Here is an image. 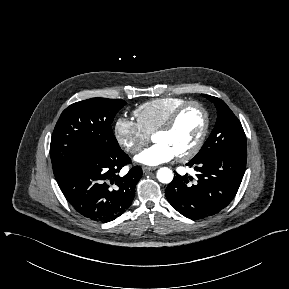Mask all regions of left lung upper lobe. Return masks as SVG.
<instances>
[{"instance_id":"left-lung-upper-lobe-1","label":"left lung upper lobe","mask_w":289,"mask_h":289,"mask_svg":"<svg viewBox=\"0 0 289 289\" xmlns=\"http://www.w3.org/2000/svg\"><path fill=\"white\" fill-rule=\"evenodd\" d=\"M214 103L217 121L209 138L192 161H200L224 152H246V137L240 121L226 103L210 95L202 94Z\"/></svg>"}]
</instances>
